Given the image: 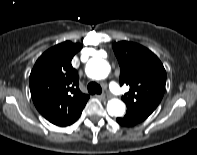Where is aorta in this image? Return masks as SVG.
Instances as JSON below:
<instances>
[{
  "label": "aorta",
  "instance_id": "obj_1",
  "mask_svg": "<svg viewBox=\"0 0 197 155\" xmlns=\"http://www.w3.org/2000/svg\"><path fill=\"white\" fill-rule=\"evenodd\" d=\"M86 74L96 80L106 78L110 73V65L101 58H91L86 64ZM107 111L110 116L120 117L125 112V104L119 99H111L107 104Z\"/></svg>",
  "mask_w": 197,
  "mask_h": 155
}]
</instances>
